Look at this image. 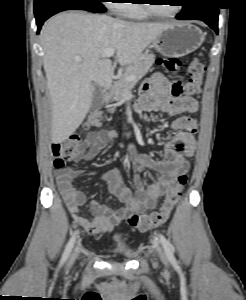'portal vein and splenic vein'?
Instances as JSON below:
<instances>
[{
    "instance_id": "18ae733b",
    "label": "portal vein and splenic vein",
    "mask_w": 246,
    "mask_h": 300,
    "mask_svg": "<svg viewBox=\"0 0 246 300\" xmlns=\"http://www.w3.org/2000/svg\"><path fill=\"white\" fill-rule=\"evenodd\" d=\"M114 54H115V49H114V48H108V49H106V50L102 53L101 57H102V58H109V57L114 56ZM132 79H134L133 76H130V77L128 78V80H132Z\"/></svg>"
}]
</instances>
